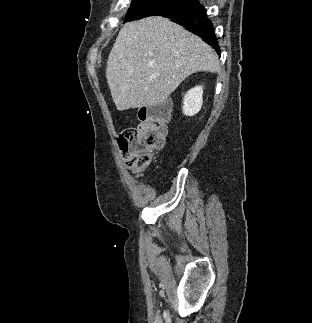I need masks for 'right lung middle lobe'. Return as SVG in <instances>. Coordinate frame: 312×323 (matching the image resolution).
<instances>
[{
	"label": "right lung middle lobe",
	"instance_id": "obj_1",
	"mask_svg": "<svg viewBox=\"0 0 312 323\" xmlns=\"http://www.w3.org/2000/svg\"><path fill=\"white\" fill-rule=\"evenodd\" d=\"M195 0H132L125 16L126 21L142 19L152 15H164L193 4Z\"/></svg>",
	"mask_w": 312,
	"mask_h": 323
}]
</instances>
